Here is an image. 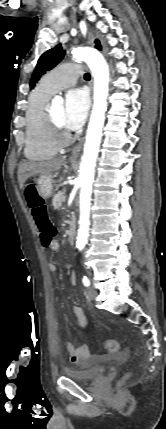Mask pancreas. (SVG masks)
I'll list each match as a JSON object with an SVG mask.
<instances>
[{"label":"pancreas","mask_w":166,"mask_h":429,"mask_svg":"<svg viewBox=\"0 0 166 429\" xmlns=\"http://www.w3.org/2000/svg\"><path fill=\"white\" fill-rule=\"evenodd\" d=\"M64 193L59 192L53 197L52 205L55 209H59L62 206Z\"/></svg>","instance_id":"obj_1"}]
</instances>
